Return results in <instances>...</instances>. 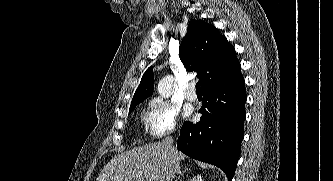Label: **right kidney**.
Masks as SVG:
<instances>
[{"instance_id":"ca27d5eb","label":"right kidney","mask_w":333,"mask_h":181,"mask_svg":"<svg viewBox=\"0 0 333 181\" xmlns=\"http://www.w3.org/2000/svg\"><path fill=\"white\" fill-rule=\"evenodd\" d=\"M191 181H203L202 177L197 175L191 179Z\"/></svg>"}]
</instances>
